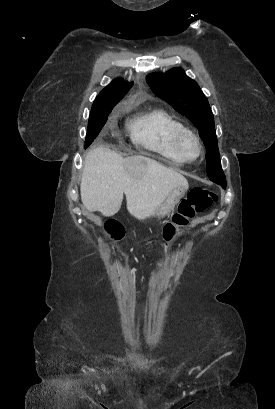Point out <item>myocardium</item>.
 <instances>
[{
  "instance_id": "obj_1",
  "label": "myocardium",
  "mask_w": 275,
  "mask_h": 409,
  "mask_svg": "<svg viewBox=\"0 0 275 409\" xmlns=\"http://www.w3.org/2000/svg\"><path fill=\"white\" fill-rule=\"evenodd\" d=\"M185 138H189L193 141L195 147H196V154L193 157H199L200 153H201V145L200 142L197 138V136L195 135V133L189 129H183L181 131H179L173 139V150L175 152L176 157H182L179 154V145L181 143V141Z\"/></svg>"
}]
</instances>
